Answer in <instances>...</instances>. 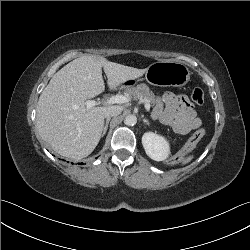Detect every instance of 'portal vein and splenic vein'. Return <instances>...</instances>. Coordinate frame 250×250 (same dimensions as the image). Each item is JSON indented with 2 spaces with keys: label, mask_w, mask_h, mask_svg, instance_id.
Instances as JSON below:
<instances>
[{
  "label": "portal vein and splenic vein",
  "mask_w": 250,
  "mask_h": 250,
  "mask_svg": "<svg viewBox=\"0 0 250 250\" xmlns=\"http://www.w3.org/2000/svg\"><path fill=\"white\" fill-rule=\"evenodd\" d=\"M130 101L129 96H124V95H115L107 99L106 101L100 102V101H95V100H87L85 102L87 109H90L94 106L100 105V104H122V103H127ZM144 106L147 112L150 111V103L147 100H144Z\"/></svg>",
  "instance_id": "portal-vein-and-splenic-vein-1"
}]
</instances>
